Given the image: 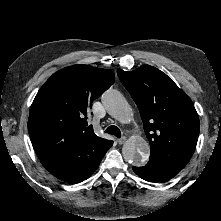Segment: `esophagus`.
<instances>
[{
    "label": "esophagus",
    "mask_w": 221,
    "mask_h": 221,
    "mask_svg": "<svg viewBox=\"0 0 221 221\" xmlns=\"http://www.w3.org/2000/svg\"><path fill=\"white\" fill-rule=\"evenodd\" d=\"M117 141H118V144L122 145L126 142V137H121Z\"/></svg>",
    "instance_id": "obj_1"
}]
</instances>
